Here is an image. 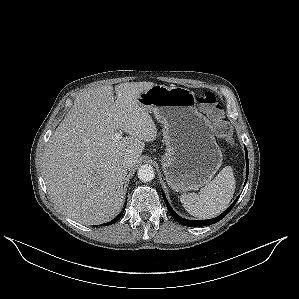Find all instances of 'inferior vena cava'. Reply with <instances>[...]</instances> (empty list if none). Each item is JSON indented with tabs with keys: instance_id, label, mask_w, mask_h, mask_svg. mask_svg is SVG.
Masks as SVG:
<instances>
[{
	"instance_id": "602c4592",
	"label": "inferior vena cava",
	"mask_w": 299,
	"mask_h": 299,
	"mask_svg": "<svg viewBox=\"0 0 299 299\" xmlns=\"http://www.w3.org/2000/svg\"><path fill=\"white\" fill-rule=\"evenodd\" d=\"M132 164V159L130 157H125L123 160H122V166L125 168V169H128Z\"/></svg>"
}]
</instances>
